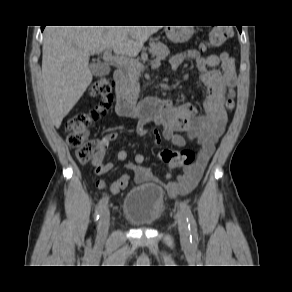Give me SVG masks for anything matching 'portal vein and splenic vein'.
Here are the masks:
<instances>
[{
    "label": "portal vein and splenic vein",
    "instance_id": "portal-vein-and-splenic-vein-1",
    "mask_svg": "<svg viewBox=\"0 0 292 292\" xmlns=\"http://www.w3.org/2000/svg\"><path fill=\"white\" fill-rule=\"evenodd\" d=\"M103 60L111 64L133 66L141 70L144 69V66L140 62L134 60L131 56H125L120 54H116L115 56L112 55L111 49L105 50L103 54ZM160 65H161L160 59H156L152 63L153 68H158L160 67Z\"/></svg>",
    "mask_w": 292,
    "mask_h": 292
}]
</instances>
